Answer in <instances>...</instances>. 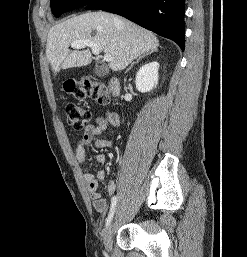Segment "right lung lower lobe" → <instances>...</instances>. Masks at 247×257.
I'll use <instances>...</instances> for the list:
<instances>
[{
  "instance_id": "right-lung-lower-lobe-1",
  "label": "right lung lower lobe",
  "mask_w": 247,
  "mask_h": 257,
  "mask_svg": "<svg viewBox=\"0 0 247 257\" xmlns=\"http://www.w3.org/2000/svg\"><path fill=\"white\" fill-rule=\"evenodd\" d=\"M86 9L121 15L175 41L184 51V0H94Z\"/></svg>"
}]
</instances>
